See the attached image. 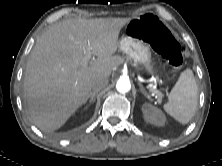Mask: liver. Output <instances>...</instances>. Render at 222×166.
<instances>
[{"instance_id":"6515ba94","label":"liver","mask_w":222,"mask_h":166,"mask_svg":"<svg viewBox=\"0 0 222 166\" xmlns=\"http://www.w3.org/2000/svg\"><path fill=\"white\" fill-rule=\"evenodd\" d=\"M130 18H73L50 26L30 53L24 99L32 122L42 131L62 127L92 94V83L108 78L123 59L115 55L119 33ZM97 56L86 58L85 45Z\"/></svg>"}]
</instances>
